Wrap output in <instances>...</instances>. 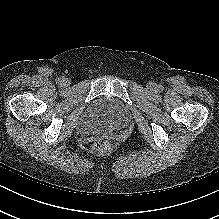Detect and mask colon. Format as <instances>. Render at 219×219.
Instances as JSON below:
<instances>
[{"label": "colon", "mask_w": 219, "mask_h": 219, "mask_svg": "<svg viewBox=\"0 0 219 219\" xmlns=\"http://www.w3.org/2000/svg\"><path fill=\"white\" fill-rule=\"evenodd\" d=\"M93 149H94L95 152H98V153L107 151L109 149V143L105 140L97 141L93 145Z\"/></svg>", "instance_id": "1"}]
</instances>
